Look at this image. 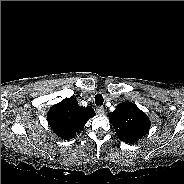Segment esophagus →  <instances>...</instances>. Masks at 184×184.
Instances as JSON below:
<instances>
[{
	"instance_id": "esophagus-1",
	"label": "esophagus",
	"mask_w": 184,
	"mask_h": 184,
	"mask_svg": "<svg viewBox=\"0 0 184 184\" xmlns=\"http://www.w3.org/2000/svg\"><path fill=\"white\" fill-rule=\"evenodd\" d=\"M104 108L102 107V106H99V107H97L96 108V112L98 113V114H100V115H102V114H104Z\"/></svg>"
}]
</instances>
